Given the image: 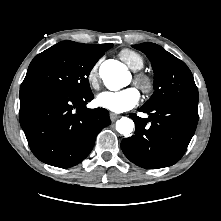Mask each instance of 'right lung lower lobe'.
I'll return each mask as SVG.
<instances>
[{
    "mask_svg": "<svg viewBox=\"0 0 221 221\" xmlns=\"http://www.w3.org/2000/svg\"><path fill=\"white\" fill-rule=\"evenodd\" d=\"M92 92L68 95L48 87L20 89L19 120L33 154L60 168L80 163L97 134L111 124L104 108L88 109Z\"/></svg>",
    "mask_w": 221,
    "mask_h": 221,
    "instance_id": "right-lung-lower-lobe-1",
    "label": "right lung lower lobe"
}]
</instances>
